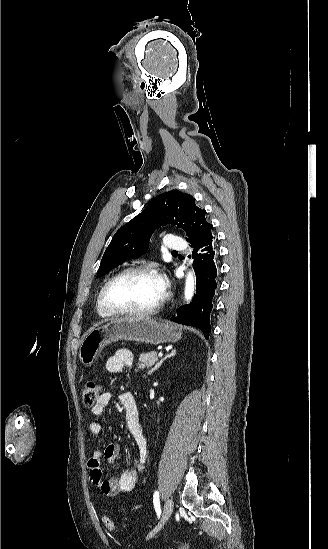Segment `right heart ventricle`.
<instances>
[{
	"label": "right heart ventricle",
	"mask_w": 328,
	"mask_h": 549,
	"mask_svg": "<svg viewBox=\"0 0 328 549\" xmlns=\"http://www.w3.org/2000/svg\"><path fill=\"white\" fill-rule=\"evenodd\" d=\"M96 312H97V314L99 315V317H101V318H103V319H108V318H110V316H108V315L102 310V303H101V300H100V294H99L98 297H97Z\"/></svg>",
	"instance_id": "obj_1"
}]
</instances>
